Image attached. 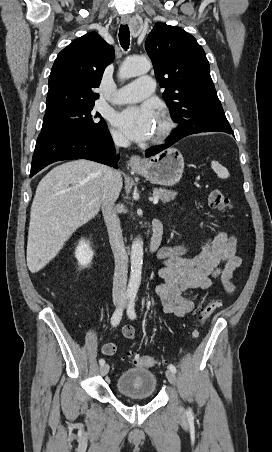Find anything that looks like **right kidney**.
I'll list each match as a JSON object with an SVG mask.
<instances>
[{
	"mask_svg": "<svg viewBox=\"0 0 272 452\" xmlns=\"http://www.w3.org/2000/svg\"><path fill=\"white\" fill-rule=\"evenodd\" d=\"M94 252L88 241L81 240L76 248L75 257L81 266L88 265L93 259Z\"/></svg>",
	"mask_w": 272,
	"mask_h": 452,
	"instance_id": "right-kidney-1",
	"label": "right kidney"
}]
</instances>
